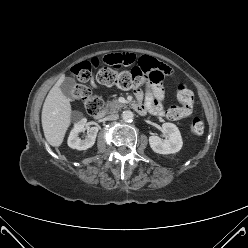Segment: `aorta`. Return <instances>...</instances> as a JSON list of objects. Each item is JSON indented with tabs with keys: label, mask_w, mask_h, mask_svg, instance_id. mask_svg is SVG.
Segmentation results:
<instances>
[{
	"label": "aorta",
	"mask_w": 248,
	"mask_h": 248,
	"mask_svg": "<svg viewBox=\"0 0 248 248\" xmlns=\"http://www.w3.org/2000/svg\"><path fill=\"white\" fill-rule=\"evenodd\" d=\"M121 117L125 122H132L134 118V114L130 110H125L122 112Z\"/></svg>",
	"instance_id": "aorta-1"
}]
</instances>
